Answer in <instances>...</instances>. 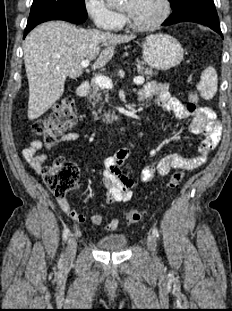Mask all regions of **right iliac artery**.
<instances>
[{"label":"right iliac artery","instance_id":"obj_1","mask_svg":"<svg viewBox=\"0 0 232 311\" xmlns=\"http://www.w3.org/2000/svg\"><path fill=\"white\" fill-rule=\"evenodd\" d=\"M69 234H70V231H69L68 228H66V229L63 231V235H62L64 241L67 240V238L69 237Z\"/></svg>","mask_w":232,"mask_h":311}]
</instances>
